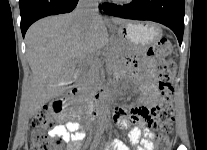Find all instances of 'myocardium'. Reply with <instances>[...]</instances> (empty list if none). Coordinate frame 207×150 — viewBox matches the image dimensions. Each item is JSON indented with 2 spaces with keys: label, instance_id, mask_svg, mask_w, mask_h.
<instances>
[{
  "label": "myocardium",
  "instance_id": "f54148a6",
  "mask_svg": "<svg viewBox=\"0 0 207 150\" xmlns=\"http://www.w3.org/2000/svg\"><path fill=\"white\" fill-rule=\"evenodd\" d=\"M116 4L126 5L135 2L136 0H112Z\"/></svg>",
  "mask_w": 207,
  "mask_h": 150
}]
</instances>
